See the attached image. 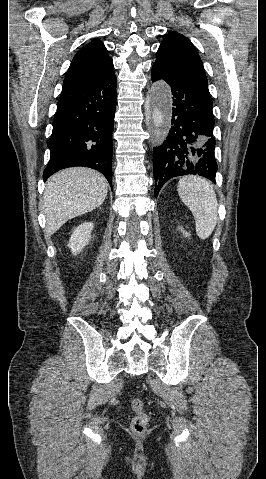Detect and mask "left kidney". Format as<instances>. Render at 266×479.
I'll list each match as a JSON object with an SVG mask.
<instances>
[{"label":"left kidney","instance_id":"obj_1","mask_svg":"<svg viewBox=\"0 0 266 479\" xmlns=\"http://www.w3.org/2000/svg\"><path fill=\"white\" fill-rule=\"evenodd\" d=\"M178 229L181 230V232L183 233L185 237H189V234L185 232L181 227H178Z\"/></svg>","mask_w":266,"mask_h":479}]
</instances>
